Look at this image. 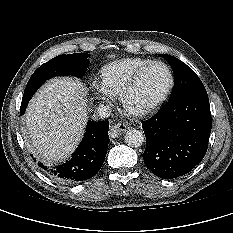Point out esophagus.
<instances>
[{"label": "esophagus", "instance_id": "1", "mask_svg": "<svg viewBox=\"0 0 233 233\" xmlns=\"http://www.w3.org/2000/svg\"><path fill=\"white\" fill-rule=\"evenodd\" d=\"M128 126L124 123H118L112 126L110 134L113 136L119 135L121 132L127 131Z\"/></svg>", "mask_w": 233, "mask_h": 233}]
</instances>
